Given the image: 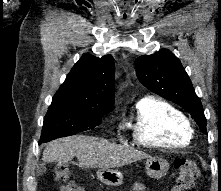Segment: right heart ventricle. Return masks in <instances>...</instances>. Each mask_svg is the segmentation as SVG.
Wrapping results in <instances>:
<instances>
[{"instance_id":"obj_1","label":"right heart ventricle","mask_w":221,"mask_h":191,"mask_svg":"<svg viewBox=\"0 0 221 191\" xmlns=\"http://www.w3.org/2000/svg\"><path fill=\"white\" fill-rule=\"evenodd\" d=\"M185 115L167 100L148 97L135 106L132 137L136 143L153 148H182L191 139Z\"/></svg>"}]
</instances>
